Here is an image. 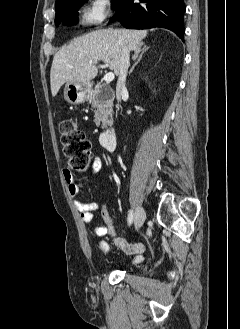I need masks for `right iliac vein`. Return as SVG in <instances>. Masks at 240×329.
<instances>
[{
  "label": "right iliac vein",
  "mask_w": 240,
  "mask_h": 329,
  "mask_svg": "<svg viewBox=\"0 0 240 329\" xmlns=\"http://www.w3.org/2000/svg\"><path fill=\"white\" fill-rule=\"evenodd\" d=\"M146 218V213L145 210L142 207H138L135 213V220H134V224H135V230H139Z\"/></svg>",
  "instance_id": "1"
}]
</instances>
